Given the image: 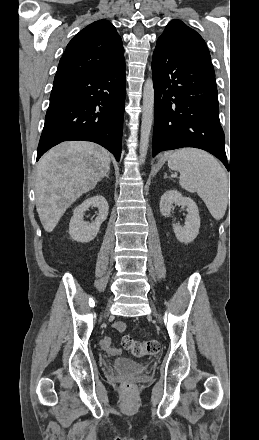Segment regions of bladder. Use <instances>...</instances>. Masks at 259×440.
Masks as SVG:
<instances>
[{"label": "bladder", "mask_w": 259, "mask_h": 440, "mask_svg": "<svg viewBox=\"0 0 259 440\" xmlns=\"http://www.w3.org/2000/svg\"><path fill=\"white\" fill-rule=\"evenodd\" d=\"M113 369L120 373H141L145 370V365L130 358H119L114 361Z\"/></svg>", "instance_id": "1"}]
</instances>
